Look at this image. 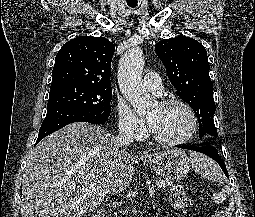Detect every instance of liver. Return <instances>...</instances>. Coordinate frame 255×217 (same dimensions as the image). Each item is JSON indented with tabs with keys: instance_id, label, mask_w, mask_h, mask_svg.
<instances>
[{
	"instance_id": "obj_1",
	"label": "liver",
	"mask_w": 255,
	"mask_h": 217,
	"mask_svg": "<svg viewBox=\"0 0 255 217\" xmlns=\"http://www.w3.org/2000/svg\"><path fill=\"white\" fill-rule=\"evenodd\" d=\"M100 126L76 122L44 138L27 158L22 180V217H81L108 193H121L134 176V158L118 153Z\"/></svg>"
}]
</instances>
